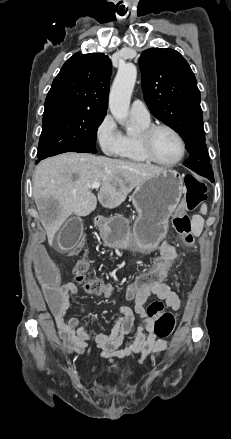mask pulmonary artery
I'll return each mask as SVG.
<instances>
[{"mask_svg": "<svg viewBox=\"0 0 231 439\" xmlns=\"http://www.w3.org/2000/svg\"><path fill=\"white\" fill-rule=\"evenodd\" d=\"M130 115L133 118L150 121V113L146 105L141 100H134L131 104Z\"/></svg>", "mask_w": 231, "mask_h": 439, "instance_id": "pulmonary-artery-1", "label": "pulmonary artery"}]
</instances>
